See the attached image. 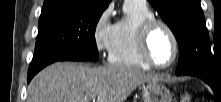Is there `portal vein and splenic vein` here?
<instances>
[{
  "label": "portal vein and splenic vein",
  "instance_id": "18ae733b",
  "mask_svg": "<svg viewBox=\"0 0 221 102\" xmlns=\"http://www.w3.org/2000/svg\"><path fill=\"white\" fill-rule=\"evenodd\" d=\"M92 100H93V102H95V98H93Z\"/></svg>",
  "mask_w": 221,
  "mask_h": 102
}]
</instances>
